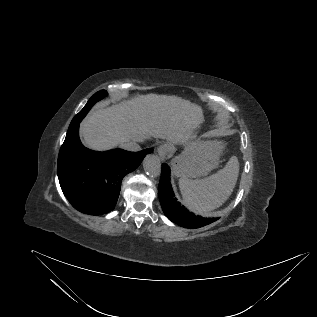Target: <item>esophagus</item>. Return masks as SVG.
Segmentation results:
<instances>
[{"label":"esophagus","mask_w":317,"mask_h":317,"mask_svg":"<svg viewBox=\"0 0 317 317\" xmlns=\"http://www.w3.org/2000/svg\"><path fill=\"white\" fill-rule=\"evenodd\" d=\"M172 146L168 143L160 145L157 149V155L160 160H164L166 156L171 152Z\"/></svg>","instance_id":"esophagus-1"}]
</instances>
